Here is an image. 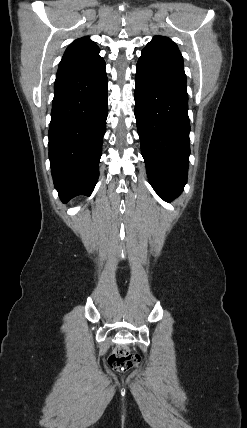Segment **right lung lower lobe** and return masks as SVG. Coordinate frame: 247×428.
Returning <instances> with one entry per match:
<instances>
[{
    "label": "right lung lower lobe",
    "instance_id": "1",
    "mask_svg": "<svg viewBox=\"0 0 247 428\" xmlns=\"http://www.w3.org/2000/svg\"><path fill=\"white\" fill-rule=\"evenodd\" d=\"M105 62L92 61L57 72L49 127L54 186L63 202L91 195L108 115Z\"/></svg>",
    "mask_w": 247,
    "mask_h": 428
}]
</instances>
